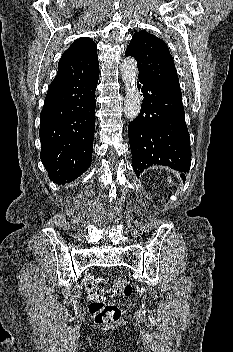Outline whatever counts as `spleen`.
Listing matches in <instances>:
<instances>
[{"mask_svg": "<svg viewBox=\"0 0 233 352\" xmlns=\"http://www.w3.org/2000/svg\"><path fill=\"white\" fill-rule=\"evenodd\" d=\"M168 181H169L170 184L172 183V179L171 178Z\"/></svg>", "mask_w": 233, "mask_h": 352, "instance_id": "obj_1", "label": "spleen"}]
</instances>
